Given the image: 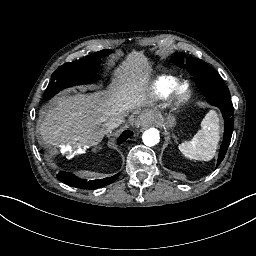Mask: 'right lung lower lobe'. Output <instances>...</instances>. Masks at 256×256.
<instances>
[{"label":"right lung lower lobe","mask_w":256,"mask_h":256,"mask_svg":"<svg viewBox=\"0 0 256 256\" xmlns=\"http://www.w3.org/2000/svg\"><path fill=\"white\" fill-rule=\"evenodd\" d=\"M132 134L133 133L131 131H125L119 138L118 142L119 143L123 142L124 140L129 138ZM118 176H119V173L112 177H107L104 179L86 181V180L78 178L77 176L73 175L72 173L62 171V172H59V174L57 175V178L61 182L65 183L69 186L92 190V189H97V188L111 184L118 178Z\"/></svg>","instance_id":"1"}]
</instances>
